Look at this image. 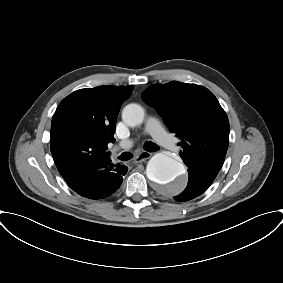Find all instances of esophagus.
<instances>
[{
    "label": "esophagus",
    "mask_w": 283,
    "mask_h": 283,
    "mask_svg": "<svg viewBox=\"0 0 283 283\" xmlns=\"http://www.w3.org/2000/svg\"><path fill=\"white\" fill-rule=\"evenodd\" d=\"M151 155L152 154L150 152L142 151L134 158V162L135 163L144 162L147 159H149Z\"/></svg>",
    "instance_id": "34e87169"
}]
</instances>
